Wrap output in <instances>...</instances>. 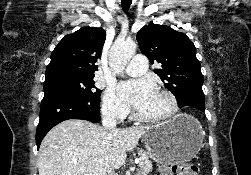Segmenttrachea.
Masks as SVG:
<instances>
[{
	"instance_id": "1",
	"label": "trachea",
	"mask_w": 251,
	"mask_h": 175,
	"mask_svg": "<svg viewBox=\"0 0 251 175\" xmlns=\"http://www.w3.org/2000/svg\"><path fill=\"white\" fill-rule=\"evenodd\" d=\"M132 0H122V9L124 12H127L130 8Z\"/></svg>"
}]
</instances>
